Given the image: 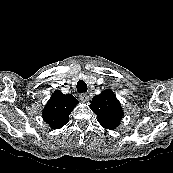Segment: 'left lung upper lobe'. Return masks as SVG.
Listing matches in <instances>:
<instances>
[{"label":"left lung upper lobe","instance_id":"5c2ea615","mask_svg":"<svg viewBox=\"0 0 173 173\" xmlns=\"http://www.w3.org/2000/svg\"><path fill=\"white\" fill-rule=\"evenodd\" d=\"M90 108L105 129L113 130L119 126L123 110L112 90L106 89L93 97Z\"/></svg>","mask_w":173,"mask_h":173}]
</instances>
